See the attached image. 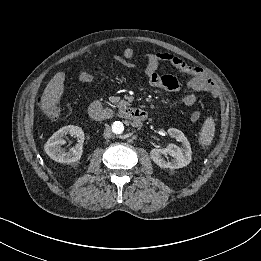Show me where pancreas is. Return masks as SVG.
Returning <instances> with one entry per match:
<instances>
[{
	"label": "pancreas",
	"instance_id": "cf45deb5",
	"mask_svg": "<svg viewBox=\"0 0 261 261\" xmlns=\"http://www.w3.org/2000/svg\"><path fill=\"white\" fill-rule=\"evenodd\" d=\"M109 100H110L109 105L113 108L115 107L122 108L126 105V101L122 100L120 97L112 96L109 98Z\"/></svg>",
	"mask_w": 261,
	"mask_h": 261
}]
</instances>
